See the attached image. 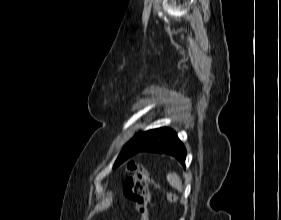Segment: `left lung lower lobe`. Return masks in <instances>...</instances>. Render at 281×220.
<instances>
[{
  "label": "left lung lower lobe",
  "instance_id": "1",
  "mask_svg": "<svg viewBox=\"0 0 281 220\" xmlns=\"http://www.w3.org/2000/svg\"><path fill=\"white\" fill-rule=\"evenodd\" d=\"M145 151L172 155L185 165V147L176 133L169 128L156 129L153 137L137 150V152Z\"/></svg>",
  "mask_w": 281,
  "mask_h": 220
}]
</instances>
